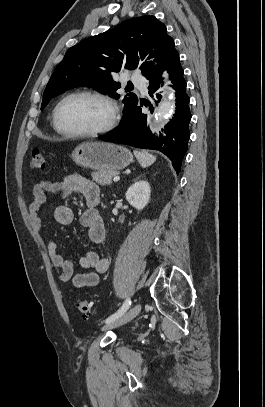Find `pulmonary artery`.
I'll list each match as a JSON object with an SVG mask.
<instances>
[{"instance_id":"obj_1","label":"pulmonary artery","mask_w":265,"mask_h":407,"mask_svg":"<svg viewBox=\"0 0 265 407\" xmlns=\"http://www.w3.org/2000/svg\"><path fill=\"white\" fill-rule=\"evenodd\" d=\"M130 80L132 83L139 86L144 93L146 92L145 78L142 75L133 73L130 76Z\"/></svg>"}]
</instances>
